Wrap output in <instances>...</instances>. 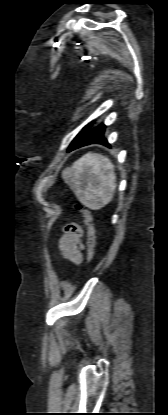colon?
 I'll return each mask as SVG.
<instances>
[{"mask_svg":"<svg viewBox=\"0 0 168 415\" xmlns=\"http://www.w3.org/2000/svg\"><path fill=\"white\" fill-rule=\"evenodd\" d=\"M77 210L81 211L87 227V254L88 261H92L95 256V232L92 224V214L88 209L83 208L81 205H76Z\"/></svg>","mask_w":168,"mask_h":415,"instance_id":"obj_1","label":"colon"}]
</instances>
